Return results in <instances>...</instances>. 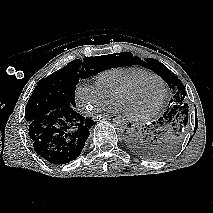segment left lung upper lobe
Masks as SVG:
<instances>
[{"mask_svg":"<svg viewBox=\"0 0 213 213\" xmlns=\"http://www.w3.org/2000/svg\"><path fill=\"white\" fill-rule=\"evenodd\" d=\"M117 57L121 59L118 67L141 65L162 77L170 89L173 90L168 109L164 113L167 114V117L165 118L163 131L156 139L153 158L162 159L171 155L179 147L187 129L189 106L185 101L186 91L184 85L164 64L155 59L141 60L130 52L120 53Z\"/></svg>","mask_w":213,"mask_h":213,"instance_id":"obj_1","label":"left lung upper lobe"}]
</instances>
